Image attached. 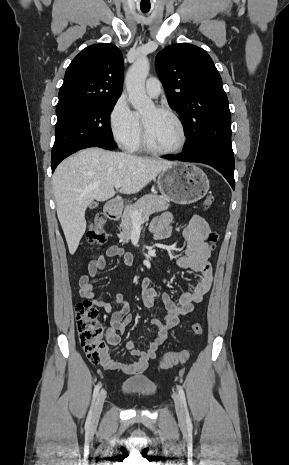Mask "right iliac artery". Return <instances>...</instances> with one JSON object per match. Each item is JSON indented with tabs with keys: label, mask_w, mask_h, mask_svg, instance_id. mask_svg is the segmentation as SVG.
I'll return each instance as SVG.
<instances>
[{
	"label": "right iliac artery",
	"mask_w": 289,
	"mask_h": 465,
	"mask_svg": "<svg viewBox=\"0 0 289 465\" xmlns=\"http://www.w3.org/2000/svg\"><path fill=\"white\" fill-rule=\"evenodd\" d=\"M101 388V384L98 383L95 387H94V391H93V399H92V404H91V408H90V411H89V414H88V417H87V421H86V424L89 425L91 423V419H92V410H93V405H94V402H95V399L99 393V390Z\"/></svg>",
	"instance_id": "82829eb1"
}]
</instances>
